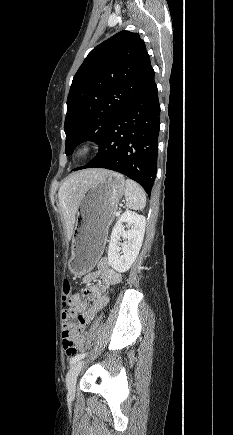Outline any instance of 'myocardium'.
<instances>
[{
    "mask_svg": "<svg viewBox=\"0 0 233 435\" xmlns=\"http://www.w3.org/2000/svg\"><path fill=\"white\" fill-rule=\"evenodd\" d=\"M90 151L91 145L88 142L83 143L74 150L73 157L76 160H83L89 155Z\"/></svg>",
    "mask_w": 233,
    "mask_h": 435,
    "instance_id": "1",
    "label": "myocardium"
}]
</instances>
